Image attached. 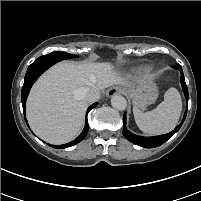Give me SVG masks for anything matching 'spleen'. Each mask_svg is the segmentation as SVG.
<instances>
[{
	"label": "spleen",
	"instance_id": "1",
	"mask_svg": "<svg viewBox=\"0 0 201 201\" xmlns=\"http://www.w3.org/2000/svg\"><path fill=\"white\" fill-rule=\"evenodd\" d=\"M181 110V96L175 88L168 89L164 94V100L152 111L143 112L137 106H133L138 128L148 134L172 131L178 123Z\"/></svg>",
	"mask_w": 201,
	"mask_h": 201
}]
</instances>
